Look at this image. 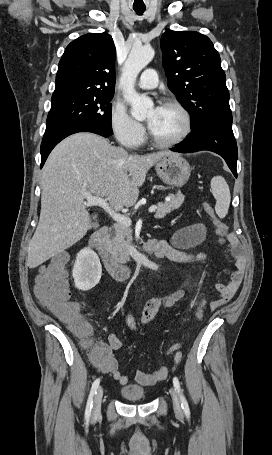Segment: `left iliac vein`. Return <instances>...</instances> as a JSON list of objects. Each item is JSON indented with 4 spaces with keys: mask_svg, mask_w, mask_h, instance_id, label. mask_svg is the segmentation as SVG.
I'll use <instances>...</instances> for the list:
<instances>
[{
    "mask_svg": "<svg viewBox=\"0 0 272 455\" xmlns=\"http://www.w3.org/2000/svg\"><path fill=\"white\" fill-rule=\"evenodd\" d=\"M170 393H171V396H172L174 409L176 410V412L181 413L182 412V407H181L180 399H179V396H178V393H177L176 389L172 387L170 389Z\"/></svg>",
    "mask_w": 272,
    "mask_h": 455,
    "instance_id": "4c4485c4",
    "label": "left iliac vein"
}]
</instances>
